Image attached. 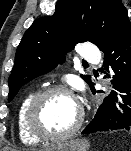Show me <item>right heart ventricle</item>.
<instances>
[{
  "label": "right heart ventricle",
  "mask_w": 131,
  "mask_h": 151,
  "mask_svg": "<svg viewBox=\"0 0 131 151\" xmlns=\"http://www.w3.org/2000/svg\"><path fill=\"white\" fill-rule=\"evenodd\" d=\"M34 95L35 92L30 91L22 98L16 115L17 132L20 140L26 145H34L40 141L29 133L25 122L26 111Z\"/></svg>",
  "instance_id": "obj_1"
}]
</instances>
